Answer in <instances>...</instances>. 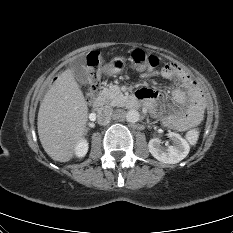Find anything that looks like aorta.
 Returning <instances> with one entry per match:
<instances>
[{
	"mask_svg": "<svg viewBox=\"0 0 233 233\" xmlns=\"http://www.w3.org/2000/svg\"><path fill=\"white\" fill-rule=\"evenodd\" d=\"M125 118L128 122L135 123L139 121L140 114L137 110L132 109L126 113Z\"/></svg>",
	"mask_w": 233,
	"mask_h": 233,
	"instance_id": "762f6f07",
	"label": "aorta"
}]
</instances>
